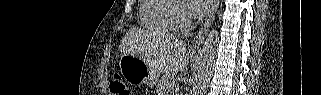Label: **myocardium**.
Returning a JSON list of instances; mask_svg holds the SVG:
<instances>
[{
	"label": "myocardium",
	"instance_id": "1",
	"mask_svg": "<svg viewBox=\"0 0 321 95\" xmlns=\"http://www.w3.org/2000/svg\"><path fill=\"white\" fill-rule=\"evenodd\" d=\"M187 15L186 7L176 1L170 12V21L175 30L185 32L193 27V22Z\"/></svg>",
	"mask_w": 321,
	"mask_h": 95
}]
</instances>
